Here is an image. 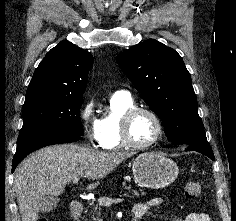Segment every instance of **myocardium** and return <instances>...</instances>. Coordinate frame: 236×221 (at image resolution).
Here are the masks:
<instances>
[{"instance_id":"f54148a6","label":"myocardium","mask_w":236,"mask_h":221,"mask_svg":"<svg viewBox=\"0 0 236 221\" xmlns=\"http://www.w3.org/2000/svg\"><path fill=\"white\" fill-rule=\"evenodd\" d=\"M140 113H146L150 115L154 121L156 122L157 125V134L154 137L153 140L146 144H138L133 141L130 135V126L132 123L133 118L140 114ZM164 134V126L161 118L159 115L152 109L148 107H143V106H134L123 114L121 121H120V138L124 146H127L132 149L136 150H145L148 148L153 147L156 145L162 138Z\"/></svg>"}]
</instances>
